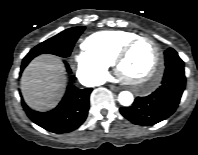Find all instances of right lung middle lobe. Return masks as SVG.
Wrapping results in <instances>:
<instances>
[{"label": "right lung middle lobe", "mask_w": 198, "mask_h": 155, "mask_svg": "<svg viewBox=\"0 0 198 155\" xmlns=\"http://www.w3.org/2000/svg\"><path fill=\"white\" fill-rule=\"evenodd\" d=\"M83 31V26L69 28L34 47L23 61L31 60L42 53H50L64 58L68 57L75 42Z\"/></svg>", "instance_id": "right-lung-middle-lobe-1"}]
</instances>
